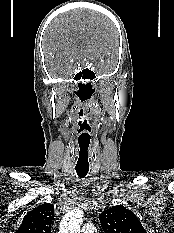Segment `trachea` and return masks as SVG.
<instances>
[{"instance_id":"1","label":"trachea","mask_w":174,"mask_h":233,"mask_svg":"<svg viewBox=\"0 0 174 233\" xmlns=\"http://www.w3.org/2000/svg\"><path fill=\"white\" fill-rule=\"evenodd\" d=\"M76 173L80 178H83L87 175L89 167H76Z\"/></svg>"}]
</instances>
